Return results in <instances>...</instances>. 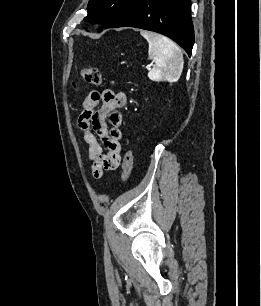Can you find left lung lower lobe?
Instances as JSON below:
<instances>
[{
  "mask_svg": "<svg viewBox=\"0 0 261 306\" xmlns=\"http://www.w3.org/2000/svg\"><path fill=\"white\" fill-rule=\"evenodd\" d=\"M191 0H133L124 15L111 27H135L155 31L177 42L190 56L194 28Z\"/></svg>",
  "mask_w": 261,
  "mask_h": 306,
  "instance_id": "obj_1",
  "label": "left lung lower lobe"
}]
</instances>
